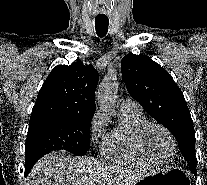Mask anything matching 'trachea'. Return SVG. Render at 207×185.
I'll list each match as a JSON object with an SVG mask.
<instances>
[{
  "instance_id": "obj_1",
  "label": "trachea",
  "mask_w": 207,
  "mask_h": 185,
  "mask_svg": "<svg viewBox=\"0 0 207 185\" xmlns=\"http://www.w3.org/2000/svg\"><path fill=\"white\" fill-rule=\"evenodd\" d=\"M109 20L104 18L95 19L96 33L99 37H104L108 31Z\"/></svg>"
}]
</instances>
